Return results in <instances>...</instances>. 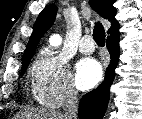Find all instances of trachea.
Listing matches in <instances>:
<instances>
[{
    "label": "trachea",
    "instance_id": "trachea-1",
    "mask_svg": "<svg viewBox=\"0 0 142 119\" xmlns=\"http://www.w3.org/2000/svg\"><path fill=\"white\" fill-rule=\"evenodd\" d=\"M93 37H94L95 42L99 46H104V44H105V30L100 22H97V24L94 27Z\"/></svg>",
    "mask_w": 142,
    "mask_h": 119
}]
</instances>
